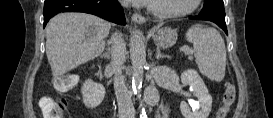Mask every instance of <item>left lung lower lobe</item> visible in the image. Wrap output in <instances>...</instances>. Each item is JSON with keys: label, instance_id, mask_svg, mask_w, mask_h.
<instances>
[{"label": "left lung lower lobe", "instance_id": "0a47b994", "mask_svg": "<svg viewBox=\"0 0 273 118\" xmlns=\"http://www.w3.org/2000/svg\"><path fill=\"white\" fill-rule=\"evenodd\" d=\"M191 19H196V20H208V21L214 22V23H216L220 28H222L226 34H228V33H227V27H226L225 20H221V19H218V18H215V17H211V16H204V15H200V14L197 15V16H192Z\"/></svg>", "mask_w": 273, "mask_h": 118}]
</instances>
